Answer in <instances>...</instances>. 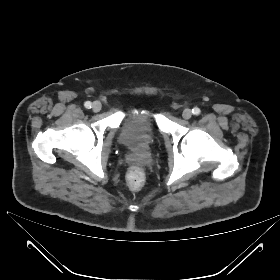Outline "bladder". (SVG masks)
I'll use <instances>...</instances> for the list:
<instances>
[{"mask_svg":"<svg viewBox=\"0 0 280 280\" xmlns=\"http://www.w3.org/2000/svg\"><path fill=\"white\" fill-rule=\"evenodd\" d=\"M117 139L134 153L148 151L156 139L155 121L151 110L136 106L125 112L118 128Z\"/></svg>","mask_w":280,"mask_h":280,"instance_id":"bladder-1","label":"bladder"}]
</instances>
